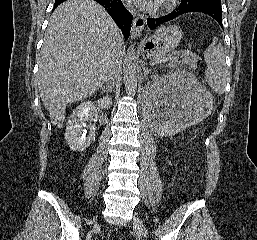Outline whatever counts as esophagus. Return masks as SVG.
<instances>
[{
  "label": "esophagus",
  "instance_id": "obj_1",
  "mask_svg": "<svg viewBox=\"0 0 257 240\" xmlns=\"http://www.w3.org/2000/svg\"><path fill=\"white\" fill-rule=\"evenodd\" d=\"M145 26V18L142 15H138L134 20H133V28L131 32L132 38H136L140 36L143 28Z\"/></svg>",
  "mask_w": 257,
  "mask_h": 240
}]
</instances>
